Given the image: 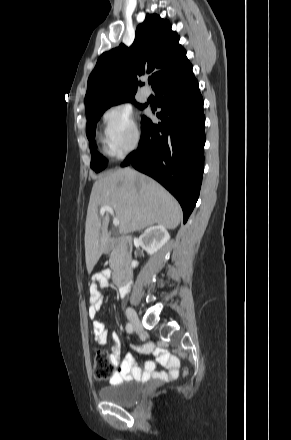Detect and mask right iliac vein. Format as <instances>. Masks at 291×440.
<instances>
[{
	"instance_id": "right-iliac-vein-1",
	"label": "right iliac vein",
	"mask_w": 291,
	"mask_h": 440,
	"mask_svg": "<svg viewBox=\"0 0 291 440\" xmlns=\"http://www.w3.org/2000/svg\"><path fill=\"white\" fill-rule=\"evenodd\" d=\"M126 315L131 325L136 331H138L141 328V323L136 312L132 308H128L126 311Z\"/></svg>"
}]
</instances>
